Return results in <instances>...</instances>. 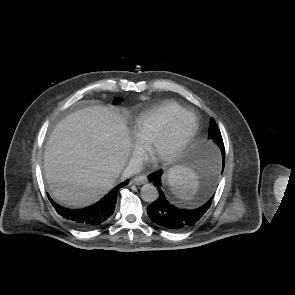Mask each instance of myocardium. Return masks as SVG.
Here are the masks:
<instances>
[{
  "mask_svg": "<svg viewBox=\"0 0 295 295\" xmlns=\"http://www.w3.org/2000/svg\"><path fill=\"white\" fill-rule=\"evenodd\" d=\"M198 129L193 113L183 111L160 132L149 146V158L157 164L177 160L188 148Z\"/></svg>",
  "mask_w": 295,
  "mask_h": 295,
  "instance_id": "1",
  "label": "myocardium"
}]
</instances>
